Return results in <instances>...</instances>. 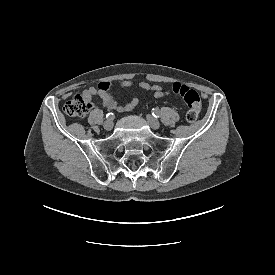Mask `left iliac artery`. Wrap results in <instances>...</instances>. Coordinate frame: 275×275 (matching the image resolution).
<instances>
[{
    "instance_id": "left-iliac-artery-1",
    "label": "left iliac artery",
    "mask_w": 275,
    "mask_h": 275,
    "mask_svg": "<svg viewBox=\"0 0 275 275\" xmlns=\"http://www.w3.org/2000/svg\"><path fill=\"white\" fill-rule=\"evenodd\" d=\"M152 115H153L155 118H158V117H160V111H159L157 108H153V109H152Z\"/></svg>"
}]
</instances>
